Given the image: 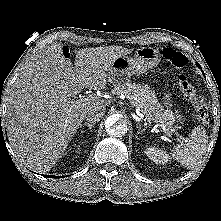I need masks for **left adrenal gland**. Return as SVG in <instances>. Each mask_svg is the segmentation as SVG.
Listing matches in <instances>:
<instances>
[{
    "instance_id": "obj_1",
    "label": "left adrenal gland",
    "mask_w": 221,
    "mask_h": 221,
    "mask_svg": "<svg viewBox=\"0 0 221 221\" xmlns=\"http://www.w3.org/2000/svg\"><path fill=\"white\" fill-rule=\"evenodd\" d=\"M137 135L138 134H142L144 131H145V129H142V126L139 124V125H137Z\"/></svg>"
}]
</instances>
